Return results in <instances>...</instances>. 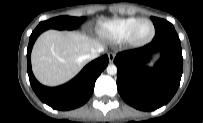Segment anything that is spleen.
I'll use <instances>...</instances> for the list:
<instances>
[{"label": "spleen", "mask_w": 203, "mask_h": 123, "mask_svg": "<svg viewBox=\"0 0 203 123\" xmlns=\"http://www.w3.org/2000/svg\"><path fill=\"white\" fill-rule=\"evenodd\" d=\"M153 64L151 63V64H149V66H152Z\"/></svg>", "instance_id": "obj_1"}]
</instances>
